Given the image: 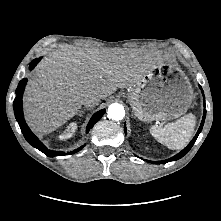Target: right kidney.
Instances as JSON below:
<instances>
[{
    "instance_id": "right-kidney-1",
    "label": "right kidney",
    "mask_w": 221,
    "mask_h": 221,
    "mask_svg": "<svg viewBox=\"0 0 221 221\" xmlns=\"http://www.w3.org/2000/svg\"><path fill=\"white\" fill-rule=\"evenodd\" d=\"M77 129V124L76 123H70L67 127L66 130L60 135L61 139H68L71 138L72 135L75 133Z\"/></svg>"
}]
</instances>
